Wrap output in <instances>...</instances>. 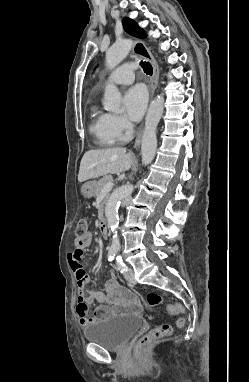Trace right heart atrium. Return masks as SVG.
<instances>
[{"mask_svg": "<svg viewBox=\"0 0 249 382\" xmlns=\"http://www.w3.org/2000/svg\"><path fill=\"white\" fill-rule=\"evenodd\" d=\"M108 128L117 140H125L132 132V124L123 116L109 114Z\"/></svg>", "mask_w": 249, "mask_h": 382, "instance_id": "d8ad5b80", "label": "right heart atrium"}]
</instances>
